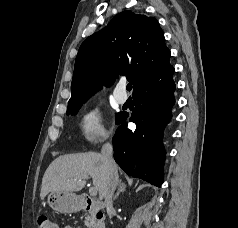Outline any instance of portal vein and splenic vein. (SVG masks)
Wrapping results in <instances>:
<instances>
[{"instance_id": "1", "label": "portal vein and splenic vein", "mask_w": 238, "mask_h": 228, "mask_svg": "<svg viewBox=\"0 0 238 228\" xmlns=\"http://www.w3.org/2000/svg\"><path fill=\"white\" fill-rule=\"evenodd\" d=\"M85 179H88V177H85ZM89 194L93 197L97 195V189L95 187H90L89 188Z\"/></svg>"}]
</instances>
